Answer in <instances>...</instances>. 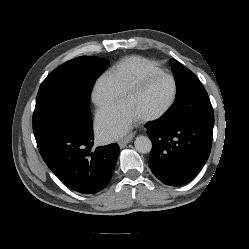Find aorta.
<instances>
[{
  "mask_svg": "<svg viewBox=\"0 0 249 249\" xmlns=\"http://www.w3.org/2000/svg\"><path fill=\"white\" fill-rule=\"evenodd\" d=\"M135 149L142 154H147L152 149V142L146 136H138L134 142Z\"/></svg>",
  "mask_w": 249,
  "mask_h": 249,
  "instance_id": "1",
  "label": "aorta"
}]
</instances>
